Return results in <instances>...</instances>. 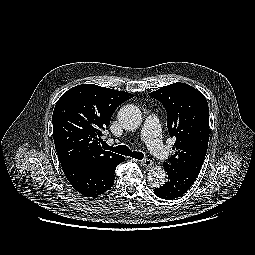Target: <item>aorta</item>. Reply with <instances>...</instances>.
I'll return each instance as SVG.
<instances>
[{
    "mask_svg": "<svg viewBox=\"0 0 255 255\" xmlns=\"http://www.w3.org/2000/svg\"><path fill=\"white\" fill-rule=\"evenodd\" d=\"M117 119L125 130H135L142 122V112L133 104L124 105L118 111ZM147 179L154 188L163 186L167 180L165 169L162 166H154L149 169Z\"/></svg>",
    "mask_w": 255,
    "mask_h": 255,
    "instance_id": "762f6f07",
    "label": "aorta"
}]
</instances>
